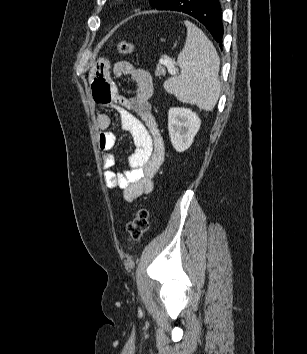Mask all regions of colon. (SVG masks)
<instances>
[{"mask_svg": "<svg viewBox=\"0 0 307 354\" xmlns=\"http://www.w3.org/2000/svg\"><path fill=\"white\" fill-rule=\"evenodd\" d=\"M117 49L122 55H130L133 52V44L127 40H120ZM149 228V213L145 208L137 210L133 220L127 225L128 237L131 241H139Z\"/></svg>", "mask_w": 307, "mask_h": 354, "instance_id": "obj_1", "label": "colon"}]
</instances>
